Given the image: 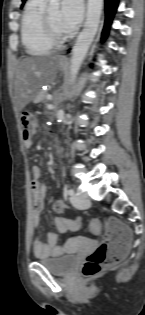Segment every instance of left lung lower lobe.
I'll list each match as a JSON object with an SVG mask.
<instances>
[{
	"label": "left lung lower lobe",
	"instance_id": "left-lung-lower-lobe-1",
	"mask_svg": "<svg viewBox=\"0 0 145 315\" xmlns=\"http://www.w3.org/2000/svg\"><path fill=\"white\" fill-rule=\"evenodd\" d=\"M105 10H106V20H105V26L103 29L102 36L103 38L106 37L109 27L111 25L113 16L115 14V11L118 6V0H105Z\"/></svg>",
	"mask_w": 145,
	"mask_h": 315
}]
</instances>
